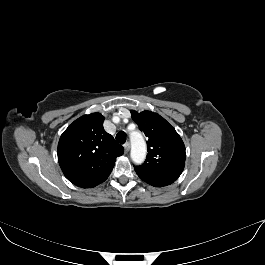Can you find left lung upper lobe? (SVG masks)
Returning a JSON list of instances; mask_svg holds the SVG:
<instances>
[{"label": "left lung upper lobe", "instance_id": "obj_1", "mask_svg": "<svg viewBox=\"0 0 265 265\" xmlns=\"http://www.w3.org/2000/svg\"><path fill=\"white\" fill-rule=\"evenodd\" d=\"M133 121L148 138L146 161L135 166L141 176L175 181L185 165V146L175 129L159 114L151 111H131Z\"/></svg>", "mask_w": 265, "mask_h": 265}]
</instances>
